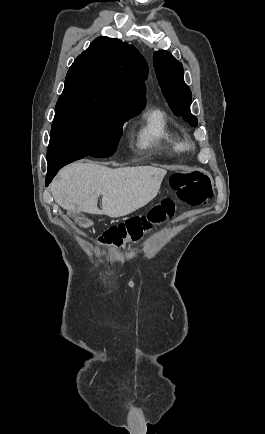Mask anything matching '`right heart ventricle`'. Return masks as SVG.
<instances>
[{"label": "right heart ventricle", "mask_w": 265, "mask_h": 434, "mask_svg": "<svg viewBox=\"0 0 265 434\" xmlns=\"http://www.w3.org/2000/svg\"><path fill=\"white\" fill-rule=\"evenodd\" d=\"M137 119L141 123L138 135L140 147L163 149L175 159L185 155V138L170 124L167 113L161 107H147L138 114Z\"/></svg>", "instance_id": "1"}]
</instances>
